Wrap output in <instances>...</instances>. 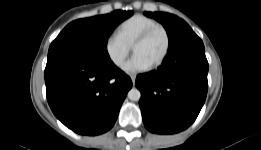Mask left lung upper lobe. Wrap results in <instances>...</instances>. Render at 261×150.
Here are the masks:
<instances>
[{
  "instance_id": "left-lung-upper-lobe-1",
  "label": "left lung upper lobe",
  "mask_w": 261,
  "mask_h": 150,
  "mask_svg": "<svg viewBox=\"0 0 261 150\" xmlns=\"http://www.w3.org/2000/svg\"><path fill=\"white\" fill-rule=\"evenodd\" d=\"M146 16L154 18L162 23L169 37L170 48L175 45L183 36L193 32L190 26L175 15L164 12H145Z\"/></svg>"
}]
</instances>
